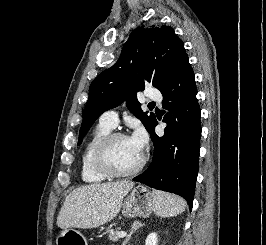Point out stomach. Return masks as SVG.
I'll use <instances>...</instances> for the list:
<instances>
[{
    "label": "stomach",
    "instance_id": "1",
    "mask_svg": "<svg viewBox=\"0 0 266 245\" xmlns=\"http://www.w3.org/2000/svg\"><path fill=\"white\" fill-rule=\"evenodd\" d=\"M121 209L124 217H129V219H133V217H149L154 211L153 195L148 191L147 187L138 185L122 201ZM57 243L58 245H88L84 235L80 231H75V229L61 231Z\"/></svg>",
    "mask_w": 266,
    "mask_h": 245
}]
</instances>
